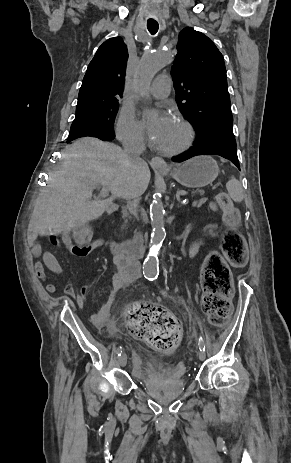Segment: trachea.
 <instances>
[{"instance_id":"1","label":"trachea","mask_w":291,"mask_h":463,"mask_svg":"<svg viewBox=\"0 0 291 463\" xmlns=\"http://www.w3.org/2000/svg\"><path fill=\"white\" fill-rule=\"evenodd\" d=\"M147 28L149 32L154 35L157 33L159 24L156 21H147Z\"/></svg>"}]
</instances>
